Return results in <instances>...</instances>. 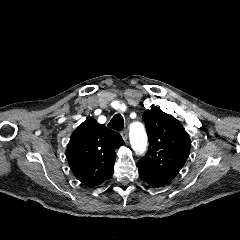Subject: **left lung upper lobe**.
Returning <instances> with one entry per match:
<instances>
[{
    "mask_svg": "<svg viewBox=\"0 0 240 240\" xmlns=\"http://www.w3.org/2000/svg\"><path fill=\"white\" fill-rule=\"evenodd\" d=\"M143 120L149 138V149L138 164L172 181L189 156V135L177 119L156 107L146 110Z\"/></svg>",
    "mask_w": 240,
    "mask_h": 240,
    "instance_id": "obj_1",
    "label": "left lung upper lobe"
}]
</instances>
